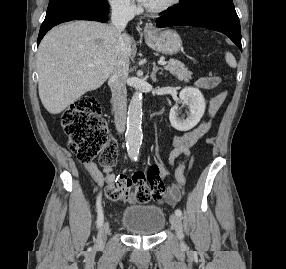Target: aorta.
Masks as SVG:
<instances>
[{
  "label": "aorta",
  "instance_id": "1",
  "mask_svg": "<svg viewBox=\"0 0 286 269\" xmlns=\"http://www.w3.org/2000/svg\"><path fill=\"white\" fill-rule=\"evenodd\" d=\"M142 93L136 91L130 101L127 117L126 146L131 157L138 156L142 144Z\"/></svg>",
  "mask_w": 286,
  "mask_h": 269
}]
</instances>
